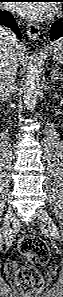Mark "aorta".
<instances>
[{"mask_svg":"<svg viewBox=\"0 0 63 297\" xmlns=\"http://www.w3.org/2000/svg\"><path fill=\"white\" fill-rule=\"evenodd\" d=\"M43 62L41 56L34 53L27 66L24 83V104L27 110L33 111L40 97V80Z\"/></svg>","mask_w":63,"mask_h":297,"instance_id":"1","label":"aorta"}]
</instances>
